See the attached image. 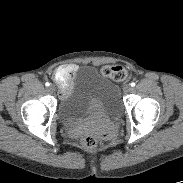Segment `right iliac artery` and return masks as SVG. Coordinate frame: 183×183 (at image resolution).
I'll list each match as a JSON object with an SVG mask.
<instances>
[{
    "label": "right iliac artery",
    "instance_id": "82829eb1",
    "mask_svg": "<svg viewBox=\"0 0 183 183\" xmlns=\"http://www.w3.org/2000/svg\"><path fill=\"white\" fill-rule=\"evenodd\" d=\"M45 85H46V86H49V85H50V83H49V82H46V83H45Z\"/></svg>",
    "mask_w": 183,
    "mask_h": 183
}]
</instances>
